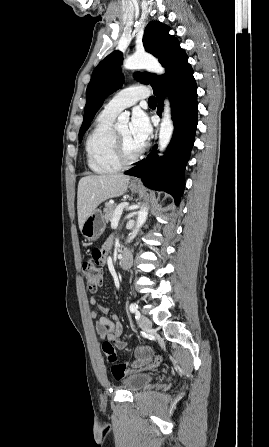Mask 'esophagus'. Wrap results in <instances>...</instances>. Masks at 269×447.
<instances>
[{
	"label": "esophagus",
	"instance_id": "obj_1",
	"mask_svg": "<svg viewBox=\"0 0 269 447\" xmlns=\"http://www.w3.org/2000/svg\"><path fill=\"white\" fill-rule=\"evenodd\" d=\"M131 183H135V184L136 183H140V180L139 179H134V180L131 181Z\"/></svg>",
	"mask_w": 269,
	"mask_h": 447
}]
</instances>
